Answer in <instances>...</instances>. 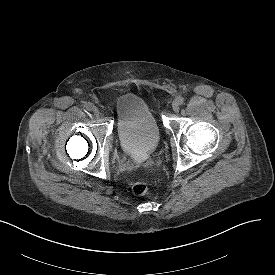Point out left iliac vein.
<instances>
[{
    "instance_id": "obj_1",
    "label": "left iliac vein",
    "mask_w": 275,
    "mask_h": 275,
    "mask_svg": "<svg viewBox=\"0 0 275 275\" xmlns=\"http://www.w3.org/2000/svg\"><path fill=\"white\" fill-rule=\"evenodd\" d=\"M172 107H173L174 112H176V113L179 112L180 107H179V104L176 100H174V102L172 104Z\"/></svg>"
}]
</instances>
